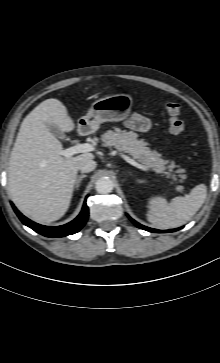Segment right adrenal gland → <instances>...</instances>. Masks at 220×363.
<instances>
[{"label":"right adrenal gland","instance_id":"2a0ac1e0","mask_svg":"<svg viewBox=\"0 0 220 363\" xmlns=\"http://www.w3.org/2000/svg\"><path fill=\"white\" fill-rule=\"evenodd\" d=\"M86 177H87V175H85V174L80 175V176L78 177V179H77V180H76V182H75V189H78V187L80 186L81 181H82L84 178H86Z\"/></svg>","mask_w":220,"mask_h":363}]
</instances>
